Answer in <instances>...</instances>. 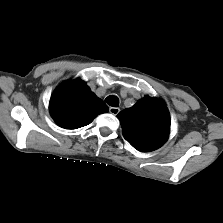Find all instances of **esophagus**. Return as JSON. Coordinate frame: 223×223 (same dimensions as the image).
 Here are the masks:
<instances>
[{"mask_svg":"<svg viewBox=\"0 0 223 223\" xmlns=\"http://www.w3.org/2000/svg\"><path fill=\"white\" fill-rule=\"evenodd\" d=\"M109 112L112 114V115H117L119 112H120V109L118 107H110L109 108Z\"/></svg>","mask_w":223,"mask_h":223,"instance_id":"34e87169","label":"esophagus"}]
</instances>
